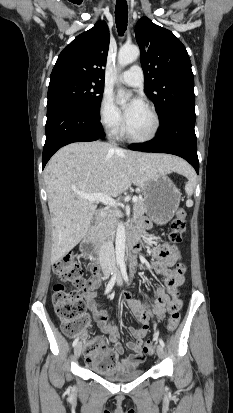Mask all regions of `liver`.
Returning a JSON list of instances; mask_svg holds the SVG:
<instances>
[{"label":"liver","instance_id":"liver-1","mask_svg":"<svg viewBox=\"0 0 233 413\" xmlns=\"http://www.w3.org/2000/svg\"><path fill=\"white\" fill-rule=\"evenodd\" d=\"M190 170L184 160L175 156L133 152L100 141L61 148L44 171L52 226L51 263L81 241L96 209L94 202L76 192L117 197L132 184L142 186L158 174Z\"/></svg>","mask_w":233,"mask_h":413}]
</instances>
